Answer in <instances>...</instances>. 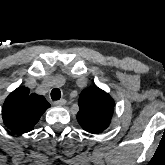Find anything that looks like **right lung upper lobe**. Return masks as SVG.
Instances as JSON below:
<instances>
[{
    "instance_id": "right-lung-upper-lobe-1",
    "label": "right lung upper lobe",
    "mask_w": 165,
    "mask_h": 165,
    "mask_svg": "<svg viewBox=\"0 0 165 165\" xmlns=\"http://www.w3.org/2000/svg\"><path fill=\"white\" fill-rule=\"evenodd\" d=\"M50 107L46 99L30 94L26 87L14 90L5 100L2 110L3 121L11 131L22 134L34 129L42 114Z\"/></svg>"
}]
</instances>
